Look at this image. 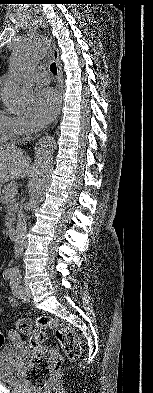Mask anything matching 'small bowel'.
<instances>
[{"instance_id":"obj_1","label":"small bowel","mask_w":153,"mask_h":393,"mask_svg":"<svg viewBox=\"0 0 153 393\" xmlns=\"http://www.w3.org/2000/svg\"><path fill=\"white\" fill-rule=\"evenodd\" d=\"M18 303H19V301H18V299L17 298H15V297H8V304L11 306V307H16V306H18ZM3 313V307L2 306H0V315Z\"/></svg>"}]
</instances>
